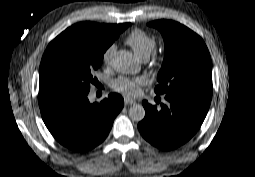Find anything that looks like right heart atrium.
Returning <instances> with one entry per match:
<instances>
[{
  "mask_svg": "<svg viewBox=\"0 0 255 177\" xmlns=\"http://www.w3.org/2000/svg\"><path fill=\"white\" fill-rule=\"evenodd\" d=\"M116 46L115 44H110L109 46H107V48L105 49L104 53H103V63L104 64H109L111 61V58L115 52Z\"/></svg>",
  "mask_w": 255,
  "mask_h": 177,
  "instance_id": "right-heart-atrium-1",
  "label": "right heart atrium"
}]
</instances>
